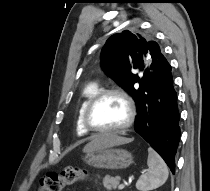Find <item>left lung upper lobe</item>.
<instances>
[{
  "mask_svg": "<svg viewBox=\"0 0 210 191\" xmlns=\"http://www.w3.org/2000/svg\"><path fill=\"white\" fill-rule=\"evenodd\" d=\"M164 61L166 58L155 41H147L140 34L129 30L111 36L101 52L103 70L136 103L148 88L151 76ZM135 69L143 71V75L135 74ZM135 83L139 86H135Z\"/></svg>",
  "mask_w": 210,
  "mask_h": 191,
  "instance_id": "left-lung-upper-lobe-1",
  "label": "left lung upper lobe"
}]
</instances>
